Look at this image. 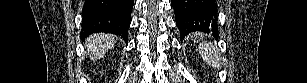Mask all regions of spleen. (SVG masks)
Returning a JSON list of instances; mask_svg holds the SVG:
<instances>
[{
  "label": "spleen",
  "instance_id": "3e777b00",
  "mask_svg": "<svg viewBox=\"0 0 307 83\" xmlns=\"http://www.w3.org/2000/svg\"><path fill=\"white\" fill-rule=\"evenodd\" d=\"M199 37H201V35L199 34H193L191 36L192 39H198ZM198 50L200 55L202 56L203 60L210 66L214 67V68H219L220 66V54L217 50V48H215V46H213L212 43L210 42H201L198 46Z\"/></svg>",
  "mask_w": 307,
  "mask_h": 83
}]
</instances>
